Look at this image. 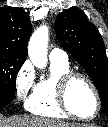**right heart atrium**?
<instances>
[{
  "mask_svg": "<svg viewBox=\"0 0 108 127\" xmlns=\"http://www.w3.org/2000/svg\"><path fill=\"white\" fill-rule=\"evenodd\" d=\"M36 86V74L32 64L25 61L19 68L15 77V92L19 100L27 103L29 93Z\"/></svg>",
  "mask_w": 108,
  "mask_h": 127,
  "instance_id": "1",
  "label": "right heart atrium"
}]
</instances>
